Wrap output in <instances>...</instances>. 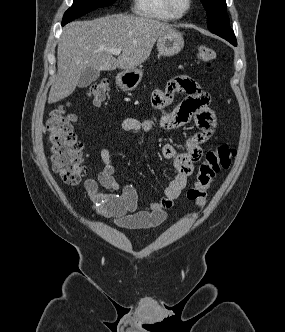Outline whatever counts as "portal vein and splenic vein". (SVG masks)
Listing matches in <instances>:
<instances>
[{
  "instance_id": "portal-vein-and-splenic-vein-1",
  "label": "portal vein and splenic vein",
  "mask_w": 285,
  "mask_h": 332,
  "mask_svg": "<svg viewBox=\"0 0 285 332\" xmlns=\"http://www.w3.org/2000/svg\"><path fill=\"white\" fill-rule=\"evenodd\" d=\"M107 51H109L113 55H120L122 49L121 48H112V49H107Z\"/></svg>"
}]
</instances>
